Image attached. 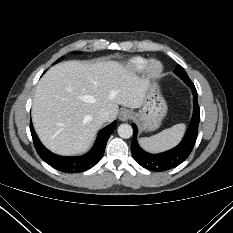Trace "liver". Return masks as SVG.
<instances>
[{
  "label": "liver",
  "mask_w": 233,
  "mask_h": 233,
  "mask_svg": "<svg viewBox=\"0 0 233 233\" xmlns=\"http://www.w3.org/2000/svg\"><path fill=\"white\" fill-rule=\"evenodd\" d=\"M149 82L116 61H66L51 67L36 86L32 121L42 143L59 155H79L92 145L102 122L122 105L142 106Z\"/></svg>",
  "instance_id": "6515ba94"
}]
</instances>
